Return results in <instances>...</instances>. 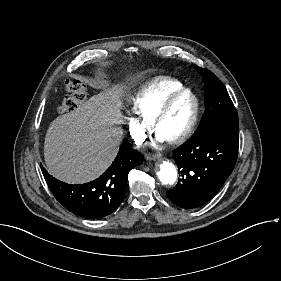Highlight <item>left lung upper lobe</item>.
I'll use <instances>...</instances> for the list:
<instances>
[{
  "label": "left lung upper lobe",
  "mask_w": 281,
  "mask_h": 281,
  "mask_svg": "<svg viewBox=\"0 0 281 281\" xmlns=\"http://www.w3.org/2000/svg\"><path fill=\"white\" fill-rule=\"evenodd\" d=\"M196 69L202 75L205 83L206 111L202 116L199 127L216 126L238 129L237 111L224 85L207 69L197 66Z\"/></svg>",
  "instance_id": "left-lung-upper-lobe-1"
}]
</instances>
